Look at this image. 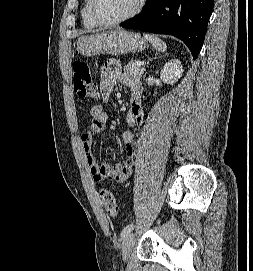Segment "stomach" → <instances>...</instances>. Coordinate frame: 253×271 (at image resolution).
Here are the masks:
<instances>
[{"label":"stomach","instance_id":"stomach-1","mask_svg":"<svg viewBox=\"0 0 253 271\" xmlns=\"http://www.w3.org/2000/svg\"><path fill=\"white\" fill-rule=\"evenodd\" d=\"M146 46L147 41L139 33L116 29L82 37L77 43V51L86 57L101 54L123 55L142 51Z\"/></svg>","mask_w":253,"mask_h":271}]
</instances>
